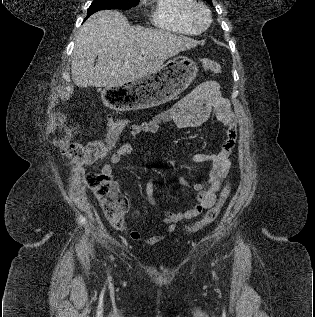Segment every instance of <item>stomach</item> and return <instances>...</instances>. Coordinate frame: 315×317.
<instances>
[{"instance_id": "obj_1", "label": "stomach", "mask_w": 315, "mask_h": 317, "mask_svg": "<svg viewBox=\"0 0 315 317\" xmlns=\"http://www.w3.org/2000/svg\"><path fill=\"white\" fill-rule=\"evenodd\" d=\"M197 72L198 67L192 59L178 56L141 79L104 88L103 94L110 95L107 103L115 104L118 114H123L124 108H152L182 93L193 82Z\"/></svg>"}]
</instances>
